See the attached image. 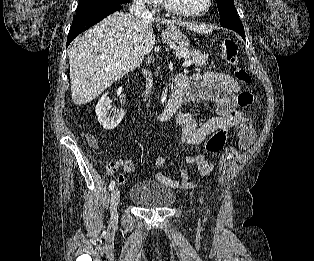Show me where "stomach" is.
Masks as SVG:
<instances>
[{
  "instance_id": "obj_1",
  "label": "stomach",
  "mask_w": 314,
  "mask_h": 261,
  "mask_svg": "<svg viewBox=\"0 0 314 261\" xmlns=\"http://www.w3.org/2000/svg\"><path fill=\"white\" fill-rule=\"evenodd\" d=\"M163 38L167 42H174L180 46V48L188 49L190 42L188 38L176 27L170 26L163 35Z\"/></svg>"
}]
</instances>
